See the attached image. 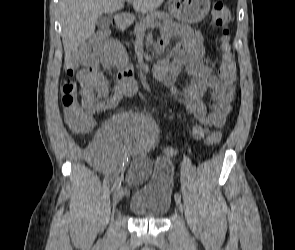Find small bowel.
<instances>
[{"instance_id":"small-bowel-1","label":"small bowel","mask_w":295,"mask_h":250,"mask_svg":"<svg viewBox=\"0 0 295 250\" xmlns=\"http://www.w3.org/2000/svg\"><path fill=\"white\" fill-rule=\"evenodd\" d=\"M171 38L178 42L167 58L153 67L156 79L171 89L175 98L191 116V134L195 139L209 138L211 144L221 141L220 129L225 126L232 110L234 85H226L213 71L210 59L205 54L203 35L186 25L168 24L161 31L159 48H165ZM115 67L121 70L110 91L105 71ZM69 77L80 83V97L86 106L96 107L98 113L115 108L124 98L136 93L137 84L126 67L122 45L114 39L108 40L104 49L95 54L77 52L66 62ZM188 78V84L179 89V76ZM157 138V127L152 120L138 112H127L114 117L99 132L96 149L106 173L113 163L132 157L126 175L129 185L143 182L150 173L152 162L148 152ZM176 154L173 148L164 151L165 157Z\"/></svg>"}]
</instances>
